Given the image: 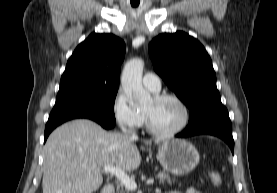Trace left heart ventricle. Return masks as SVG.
I'll return each instance as SVG.
<instances>
[{"mask_svg":"<svg viewBox=\"0 0 277 193\" xmlns=\"http://www.w3.org/2000/svg\"><path fill=\"white\" fill-rule=\"evenodd\" d=\"M154 124L162 131H170L177 128L183 121V110L180 105L171 99L155 102L151 98L143 107Z\"/></svg>","mask_w":277,"mask_h":193,"instance_id":"b2bd125f","label":"left heart ventricle"}]
</instances>
